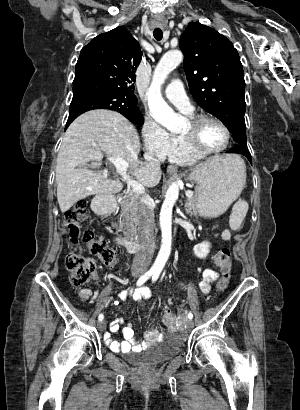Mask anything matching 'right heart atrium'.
Returning a JSON list of instances; mask_svg holds the SVG:
<instances>
[{"label":"right heart atrium","instance_id":"d8ad5b80","mask_svg":"<svg viewBox=\"0 0 300 410\" xmlns=\"http://www.w3.org/2000/svg\"><path fill=\"white\" fill-rule=\"evenodd\" d=\"M146 154L164 159L172 145V135L149 115L144 117L141 128Z\"/></svg>","mask_w":300,"mask_h":410}]
</instances>
